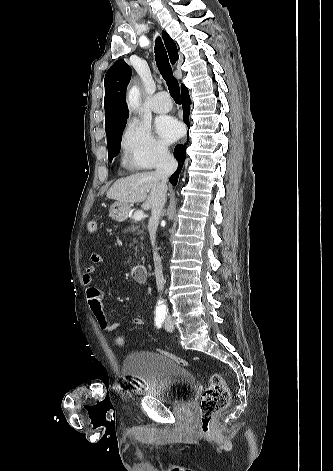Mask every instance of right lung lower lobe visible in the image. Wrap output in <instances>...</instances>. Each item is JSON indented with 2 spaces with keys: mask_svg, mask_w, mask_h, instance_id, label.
I'll list each match as a JSON object with an SVG mask.
<instances>
[{
  "mask_svg": "<svg viewBox=\"0 0 333 471\" xmlns=\"http://www.w3.org/2000/svg\"><path fill=\"white\" fill-rule=\"evenodd\" d=\"M181 103L183 105V121L187 126H189L190 96L188 94V89L185 86L181 87ZM185 149L186 144H178L174 149V157L178 161V168L169 179L173 185L177 184L179 174L183 167L186 157Z\"/></svg>",
  "mask_w": 333,
  "mask_h": 471,
  "instance_id": "right-lung-lower-lobe-1",
  "label": "right lung lower lobe"
}]
</instances>
